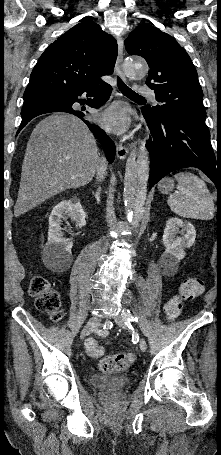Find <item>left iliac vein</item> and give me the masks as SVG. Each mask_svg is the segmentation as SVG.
I'll return each mask as SVG.
<instances>
[{
	"mask_svg": "<svg viewBox=\"0 0 221 455\" xmlns=\"http://www.w3.org/2000/svg\"><path fill=\"white\" fill-rule=\"evenodd\" d=\"M114 321L120 327L126 328V323H125V321L123 319L122 314L114 317ZM139 347H140L141 351H143V352L147 350V343H146V341L143 338L140 339Z\"/></svg>",
	"mask_w": 221,
	"mask_h": 455,
	"instance_id": "1",
	"label": "left iliac vein"
}]
</instances>
